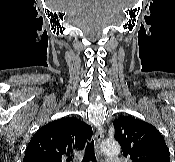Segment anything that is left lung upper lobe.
Instances as JSON below:
<instances>
[{"instance_id": "1", "label": "left lung upper lobe", "mask_w": 175, "mask_h": 162, "mask_svg": "<svg viewBox=\"0 0 175 162\" xmlns=\"http://www.w3.org/2000/svg\"><path fill=\"white\" fill-rule=\"evenodd\" d=\"M113 124L123 155L132 162H170L169 149L154 126L132 116L120 117Z\"/></svg>"}]
</instances>
